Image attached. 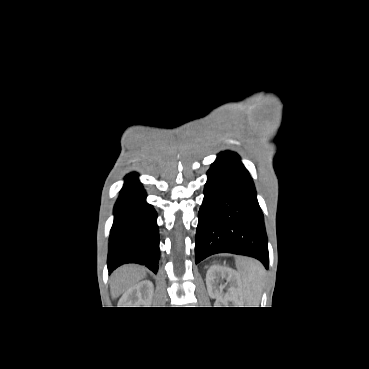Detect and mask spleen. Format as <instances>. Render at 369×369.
<instances>
[{
	"instance_id": "3e777b00",
	"label": "spleen",
	"mask_w": 369,
	"mask_h": 369,
	"mask_svg": "<svg viewBox=\"0 0 369 369\" xmlns=\"http://www.w3.org/2000/svg\"><path fill=\"white\" fill-rule=\"evenodd\" d=\"M236 265L244 302L249 305L247 307H259L263 289V266L258 261L247 258H237Z\"/></svg>"
}]
</instances>
